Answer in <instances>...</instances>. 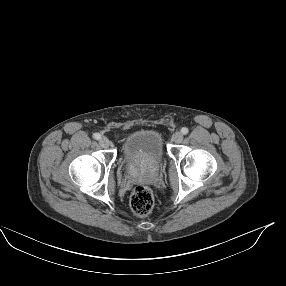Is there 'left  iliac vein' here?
<instances>
[{"label":"left iliac vein","mask_w":286,"mask_h":286,"mask_svg":"<svg viewBox=\"0 0 286 286\" xmlns=\"http://www.w3.org/2000/svg\"><path fill=\"white\" fill-rule=\"evenodd\" d=\"M172 139L175 143H181L183 140L182 132L180 131L175 132Z\"/></svg>","instance_id":"left-iliac-vein-1"}]
</instances>
